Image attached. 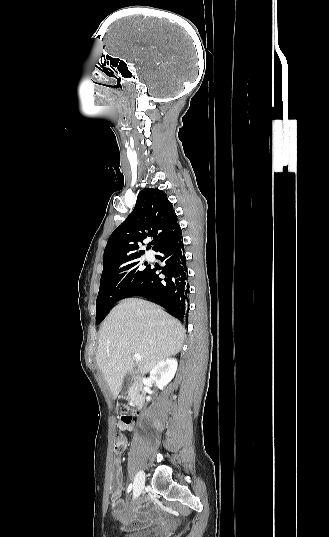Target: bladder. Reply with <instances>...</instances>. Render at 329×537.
Returning <instances> with one entry per match:
<instances>
[{
  "label": "bladder",
  "mask_w": 329,
  "mask_h": 537,
  "mask_svg": "<svg viewBox=\"0 0 329 537\" xmlns=\"http://www.w3.org/2000/svg\"><path fill=\"white\" fill-rule=\"evenodd\" d=\"M123 537H152L151 530H135L127 533Z\"/></svg>",
  "instance_id": "1"
}]
</instances>
